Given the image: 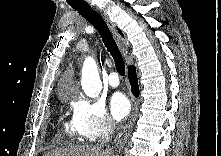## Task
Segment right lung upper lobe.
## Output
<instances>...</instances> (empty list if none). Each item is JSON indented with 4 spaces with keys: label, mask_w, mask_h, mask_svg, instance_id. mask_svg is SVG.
Listing matches in <instances>:
<instances>
[{
    "label": "right lung upper lobe",
    "mask_w": 221,
    "mask_h": 156,
    "mask_svg": "<svg viewBox=\"0 0 221 156\" xmlns=\"http://www.w3.org/2000/svg\"><path fill=\"white\" fill-rule=\"evenodd\" d=\"M119 33L123 36L122 32L119 30Z\"/></svg>",
    "instance_id": "cb5924a9"
}]
</instances>
